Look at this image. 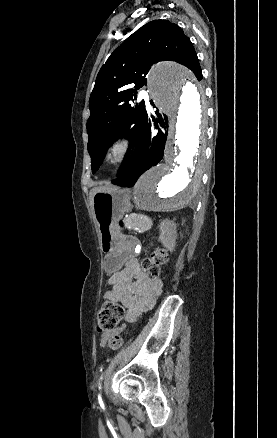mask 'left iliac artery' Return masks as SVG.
I'll list each match as a JSON object with an SVG mask.
<instances>
[{
  "label": "left iliac artery",
  "instance_id": "1",
  "mask_svg": "<svg viewBox=\"0 0 277 438\" xmlns=\"http://www.w3.org/2000/svg\"><path fill=\"white\" fill-rule=\"evenodd\" d=\"M102 379V376L100 377V380ZM101 387H100V381H99V389H100ZM98 398H99V400L101 401V395L99 394L98 395Z\"/></svg>",
  "mask_w": 277,
  "mask_h": 438
}]
</instances>
